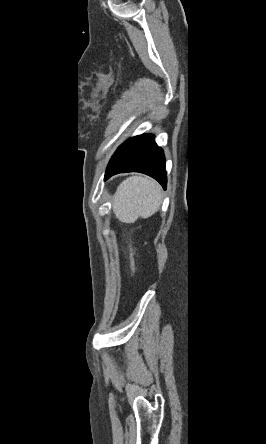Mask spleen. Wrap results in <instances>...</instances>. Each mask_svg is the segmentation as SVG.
<instances>
[{"label": "spleen", "mask_w": 266, "mask_h": 444, "mask_svg": "<svg viewBox=\"0 0 266 444\" xmlns=\"http://www.w3.org/2000/svg\"><path fill=\"white\" fill-rule=\"evenodd\" d=\"M162 203L159 184L145 176L125 179L113 197V210L124 223H132L139 217L148 218L160 209Z\"/></svg>", "instance_id": "obj_1"}]
</instances>
